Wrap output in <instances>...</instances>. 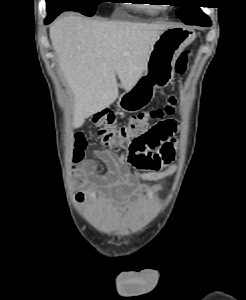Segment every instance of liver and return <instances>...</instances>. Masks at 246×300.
<instances>
[{
	"label": "liver",
	"mask_w": 246,
	"mask_h": 300,
	"mask_svg": "<svg viewBox=\"0 0 246 300\" xmlns=\"http://www.w3.org/2000/svg\"><path fill=\"white\" fill-rule=\"evenodd\" d=\"M164 24L97 21L78 15L59 18L50 39L60 69L74 95V128L109 107L118 97V83L128 91L142 77L151 48Z\"/></svg>",
	"instance_id": "6515ba94"
}]
</instances>
